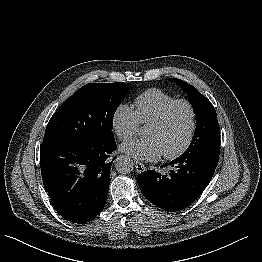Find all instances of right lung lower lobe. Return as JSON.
I'll list each match as a JSON object with an SVG mask.
<instances>
[{
	"label": "right lung lower lobe",
	"instance_id": "98d812e1",
	"mask_svg": "<svg viewBox=\"0 0 262 262\" xmlns=\"http://www.w3.org/2000/svg\"><path fill=\"white\" fill-rule=\"evenodd\" d=\"M115 139L43 140L40 165L43 184L64 219L86 223L105 206Z\"/></svg>",
	"mask_w": 262,
	"mask_h": 262
}]
</instances>
